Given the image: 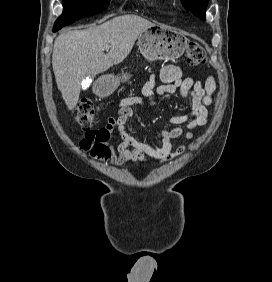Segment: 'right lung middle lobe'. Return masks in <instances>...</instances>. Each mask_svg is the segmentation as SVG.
Listing matches in <instances>:
<instances>
[{"label":"right lung middle lobe","mask_w":272,"mask_h":282,"mask_svg":"<svg viewBox=\"0 0 272 282\" xmlns=\"http://www.w3.org/2000/svg\"><path fill=\"white\" fill-rule=\"evenodd\" d=\"M109 2L110 0H63V13L54 27L66 26L82 17L100 13L108 7Z\"/></svg>","instance_id":"obj_1"}]
</instances>
